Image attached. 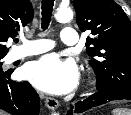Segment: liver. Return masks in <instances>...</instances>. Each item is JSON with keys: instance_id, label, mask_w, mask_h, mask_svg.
Returning a JSON list of instances; mask_svg holds the SVG:
<instances>
[{"instance_id": "liver-1", "label": "liver", "mask_w": 131, "mask_h": 115, "mask_svg": "<svg viewBox=\"0 0 131 115\" xmlns=\"http://www.w3.org/2000/svg\"><path fill=\"white\" fill-rule=\"evenodd\" d=\"M0 115H6L3 111L0 110Z\"/></svg>"}]
</instances>
